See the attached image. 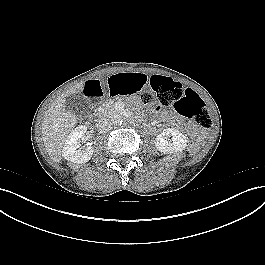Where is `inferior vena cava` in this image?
Masks as SVG:
<instances>
[{"label":"inferior vena cava","instance_id":"inferior-vena-cava-1","mask_svg":"<svg viewBox=\"0 0 265 265\" xmlns=\"http://www.w3.org/2000/svg\"><path fill=\"white\" fill-rule=\"evenodd\" d=\"M112 129V122L109 118H101L97 123V130L99 133H107Z\"/></svg>","mask_w":265,"mask_h":265}]
</instances>
